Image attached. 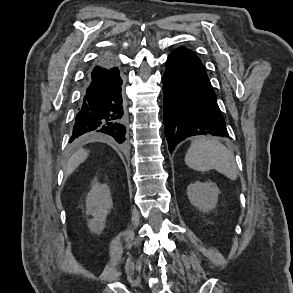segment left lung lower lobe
Listing matches in <instances>:
<instances>
[{"mask_svg":"<svg viewBox=\"0 0 293 293\" xmlns=\"http://www.w3.org/2000/svg\"><path fill=\"white\" fill-rule=\"evenodd\" d=\"M166 63L164 128L169 151L193 135L228 137L216 94L199 58L181 47L169 55Z\"/></svg>","mask_w":293,"mask_h":293,"instance_id":"0a47b994","label":"left lung lower lobe"}]
</instances>
